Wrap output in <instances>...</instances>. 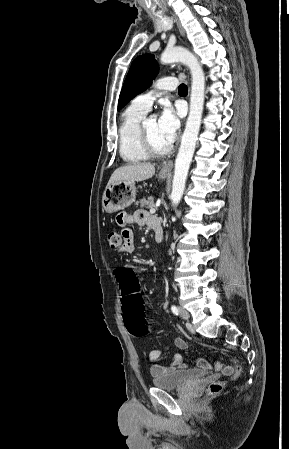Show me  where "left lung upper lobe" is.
Segmentation results:
<instances>
[{"instance_id": "5c2ea615", "label": "left lung upper lobe", "mask_w": 289, "mask_h": 449, "mask_svg": "<svg viewBox=\"0 0 289 449\" xmlns=\"http://www.w3.org/2000/svg\"><path fill=\"white\" fill-rule=\"evenodd\" d=\"M158 73V65L152 54L137 57L131 64L122 87L118 110H121L132 98L145 91Z\"/></svg>"}]
</instances>
